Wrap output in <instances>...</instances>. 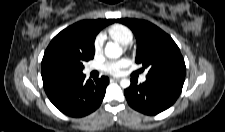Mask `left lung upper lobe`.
Returning a JSON list of instances; mask_svg holds the SVG:
<instances>
[{
	"label": "left lung upper lobe",
	"mask_w": 225,
	"mask_h": 132,
	"mask_svg": "<svg viewBox=\"0 0 225 132\" xmlns=\"http://www.w3.org/2000/svg\"><path fill=\"white\" fill-rule=\"evenodd\" d=\"M128 26L137 40L136 62L141 63L146 77L184 80L186 66L180 50L173 39L152 23L139 19H117Z\"/></svg>",
	"instance_id": "obj_1"
}]
</instances>
